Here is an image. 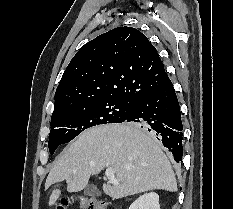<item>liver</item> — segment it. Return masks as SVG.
<instances>
[{"mask_svg": "<svg viewBox=\"0 0 233 209\" xmlns=\"http://www.w3.org/2000/svg\"><path fill=\"white\" fill-rule=\"evenodd\" d=\"M113 168L118 185L103 184L113 199L147 192H175L177 182L169 160L154 137L133 124H106L81 133L60 155L46 179L45 188L66 180L67 191L79 192L91 175ZM61 191L54 189L49 206Z\"/></svg>", "mask_w": 233, "mask_h": 209, "instance_id": "6515ba94", "label": "liver"}]
</instances>
